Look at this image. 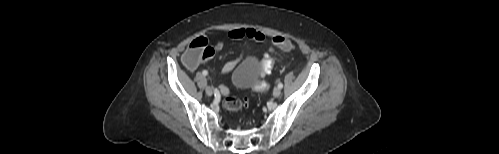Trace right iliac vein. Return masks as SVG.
I'll use <instances>...</instances> for the list:
<instances>
[{"mask_svg":"<svg viewBox=\"0 0 499 154\" xmlns=\"http://www.w3.org/2000/svg\"><path fill=\"white\" fill-rule=\"evenodd\" d=\"M205 91H206V94H207L208 96H212V94H213V89H212V87L207 86V87H206V89H205Z\"/></svg>","mask_w":499,"mask_h":154,"instance_id":"right-iliac-vein-1","label":"right iliac vein"}]
</instances>
